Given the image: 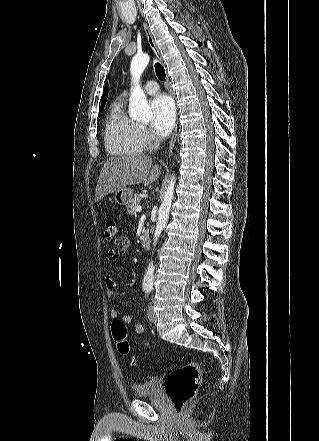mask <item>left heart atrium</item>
I'll return each instance as SVG.
<instances>
[{
  "label": "left heart atrium",
  "mask_w": 319,
  "mask_h": 441,
  "mask_svg": "<svg viewBox=\"0 0 319 441\" xmlns=\"http://www.w3.org/2000/svg\"><path fill=\"white\" fill-rule=\"evenodd\" d=\"M152 110L151 126L153 131L160 135H167L173 128L175 122V105L173 100L165 95L159 94L150 102Z\"/></svg>",
  "instance_id": "1"
}]
</instances>
